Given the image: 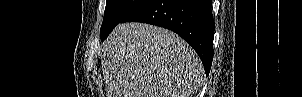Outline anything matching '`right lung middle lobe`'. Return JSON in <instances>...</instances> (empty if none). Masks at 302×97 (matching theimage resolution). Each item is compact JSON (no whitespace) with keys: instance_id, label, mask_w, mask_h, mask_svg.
I'll return each mask as SVG.
<instances>
[{"instance_id":"right-lung-middle-lobe-1","label":"right lung middle lobe","mask_w":302,"mask_h":97,"mask_svg":"<svg viewBox=\"0 0 302 97\" xmlns=\"http://www.w3.org/2000/svg\"><path fill=\"white\" fill-rule=\"evenodd\" d=\"M143 0H107L103 23L100 29L101 41L105 40L113 28Z\"/></svg>"}]
</instances>
